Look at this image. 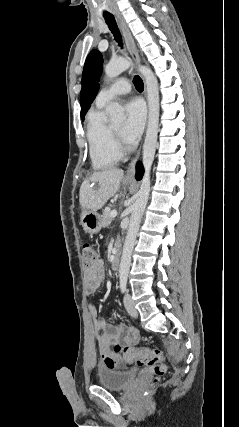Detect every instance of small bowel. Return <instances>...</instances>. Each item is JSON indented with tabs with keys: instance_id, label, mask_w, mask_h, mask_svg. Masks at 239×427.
<instances>
[{
	"instance_id": "c3829d8e",
	"label": "small bowel",
	"mask_w": 239,
	"mask_h": 427,
	"mask_svg": "<svg viewBox=\"0 0 239 427\" xmlns=\"http://www.w3.org/2000/svg\"><path fill=\"white\" fill-rule=\"evenodd\" d=\"M85 278L88 291L95 293L104 278L102 260H96L92 265L86 266ZM96 315L97 310L92 307V326L103 365L110 369H116L121 365L122 358L112 350V345L126 347L137 345L140 341L139 332L136 328L122 323H105Z\"/></svg>"
}]
</instances>
